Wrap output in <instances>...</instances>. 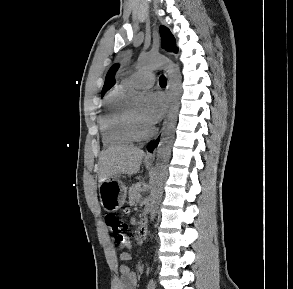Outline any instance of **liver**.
<instances>
[{
    "label": "liver",
    "instance_id": "liver-1",
    "mask_svg": "<svg viewBox=\"0 0 293 289\" xmlns=\"http://www.w3.org/2000/svg\"><path fill=\"white\" fill-rule=\"evenodd\" d=\"M144 151L134 146L109 147L99 159V183L117 174H136L144 157Z\"/></svg>",
    "mask_w": 293,
    "mask_h": 289
}]
</instances>
